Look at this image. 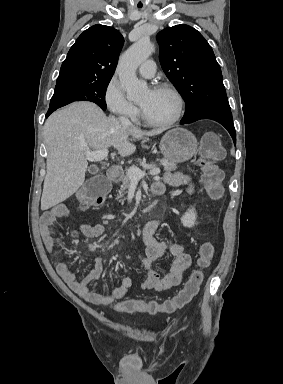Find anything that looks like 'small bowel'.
<instances>
[{
  "instance_id": "1",
  "label": "small bowel",
  "mask_w": 283,
  "mask_h": 384,
  "mask_svg": "<svg viewBox=\"0 0 283 384\" xmlns=\"http://www.w3.org/2000/svg\"><path fill=\"white\" fill-rule=\"evenodd\" d=\"M154 185L159 187L162 192L165 189V185L171 187L186 186L189 193H192L194 190L191 179L182 173H166L162 180ZM67 214L68 209L64 204H56L46 211L40 220L43 241L51 255L58 275L75 293L91 304L109 305L116 303L132 287V280L130 278H122L119 285L108 294H100L91 291L88 285L101 275L104 268L103 258H96L93 268L80 280L76 279L75 274L64 262L62 246L55 242L53 237L52 224L55 220L65 217ZM159 226V221L151 220L145 224L142 230L143 241L146 245V255L140 258V261L147 270V278L141 284V289L143 290L164 291L178 286L191 265V257L186 252L183 244H170L155 237ZM104 230L105 227L102 224H85L80 227V232L88 238H98L104 233ZM166 253L172 255V260L169 272L165 276H161L154 264L163 259Z\"/></svg>"
}]
</instances>
